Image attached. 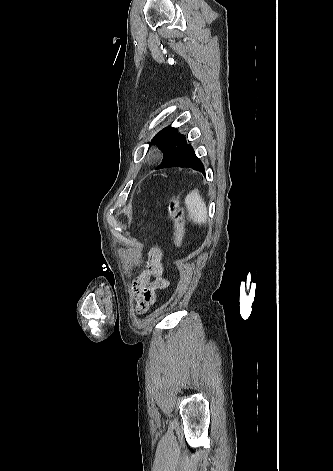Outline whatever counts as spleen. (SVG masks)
I'll use <instances>...</instances> for the list:
<instances>
[{
    "label": "spleen",
    "instance_id": "spleen-1",
    "mask_svg": "<svg viewBox=\"0 0 333 471\" xmlns=\"http://www.w3.org/2000/svg\"><path fill=\"white\" fill-rule=\"evenodd\" d=\"M185 205L190 219L194 222L204 224L207 221V208L204 200L197 189L191 191L185 198Z\"/></svg>",
    "mask_w": 333,
    "mask_h": 471
}]
</instances>
